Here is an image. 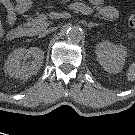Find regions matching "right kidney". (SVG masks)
<instances>
[{"label": "right kidney", "instance_id": "right-kidney-1", "mask_svg": "<svg viewBox=\"0 0 135 135\" xmlns=\"http://www.w3.org/2000/svg\"><path fill=\"white\" fill-rule=\"evenodd\" d=\"M28 58H32L33 60L25 63V60ZM43 59L44 52L39 48H18L6 60L5 71L11 77L25 79L38 72L43 63ZM22 60L24 61L22 62Z\"/></svg>", "mask_w": 135, "mask_h": 135}]
</instances>
